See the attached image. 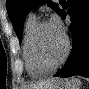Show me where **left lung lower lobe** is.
Returning a JSON list of instances; mask_svg holds the SVG:
<instances>
[{
  "instance_id": "obj_1",
  "label": "left lung lower lobe",
  "mask_w": 89,
  "mask_h": 89,
  "mask_svg": "<svg viewBox=\"0 0 89 89\" xmlns=\"http://www.w3.org/2000/svg\"><path fill=\"white\" fill-rule=\"evenodd\" d=\"M68 6L67 13L71 16L69 28L73 46L68 60L55 76L89 77V0H68ZM59 15L64 19L66 13L62 10Z\"/></svg>"
}]
</instances>
